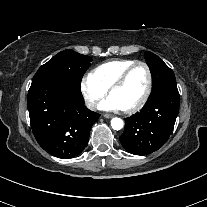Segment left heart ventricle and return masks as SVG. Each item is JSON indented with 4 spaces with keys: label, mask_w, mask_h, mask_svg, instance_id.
Returning <instances> with one entry per match:
<instances>
[{
    "label": "left heart ventricle",
    "mask_w": 207,
    "mask_h": 207,
    "mask_svg": "<svg viewBox=\"0 0 207 207\" xmlns=\"http://www.w3.org/2000/svg\"><path fill=\"white\" fill-rule=\"evenodd\" d=\"M147 87V73L142 66L135 67L125 83L111 94V98L119 105L120 109H127L137 104Z\"/></svg>",
    "instance_id": "obj_1"
}]
</instances>
